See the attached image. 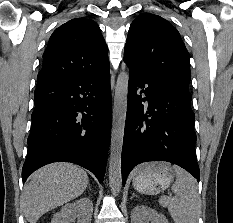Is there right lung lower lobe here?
Returning <instances> with one entry per match:
<instances>
[{"instance_id": "1", "label": "right lung lower lobe", "mask_w": 233, "mask_h": 223, "mask_svg": "<svg viewBox=\"0 0 233 223\" xmlns=\"http://www.w3.org/2000/svg\"><path fill=\"white\" fill-rule=\"evenodd\" d=\"M23 182L36 169L58 161L104 178L111 131L109 67L90 75L39 85L34 94Z\"/></svg>"}]
</instances>
